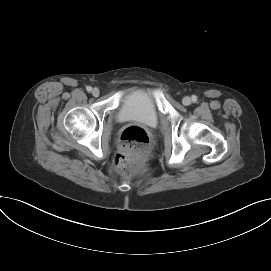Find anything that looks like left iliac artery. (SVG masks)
I'll return each mask as SVG.
<instances>
[{
	"label": "left iliac artery",
	"instance_id": "44dca946",
	"mask_svg": "<svg viewBox=\"0 0 271 271\" xmlns=\"http://www.w3.org/2000/svg\"><path fill=\"white\" fill-rule=\"evenodd\" d=\"M197 100V97L195 95L192 96V101H196Z\"/></svg>",
	"mask_w": 271,
	"mask_h": 271
}]
</instances>
